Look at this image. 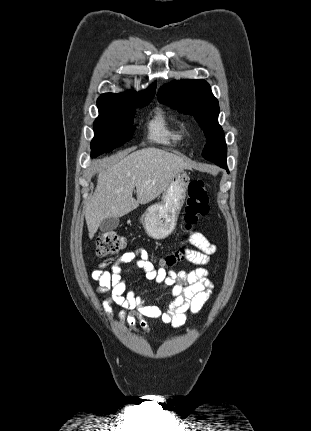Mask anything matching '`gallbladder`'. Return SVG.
I'll return each instance as SVG.
<instances>
[{
  "label": "gallbladder",
  "instance_id": "1",
  "mask_svg": "<svg viewBox=\"0 0 311 431\" xmlns=\"http://www.w3.org/2000/svg\"><path fill=\"white\" fill-rule=\"evenodd\" d=\"M120 223L119 217H106L99 225L100 231H113Z\"/></svg>",
  "mask_w": 311,
  "mask_h": 431
}]
</instances>
